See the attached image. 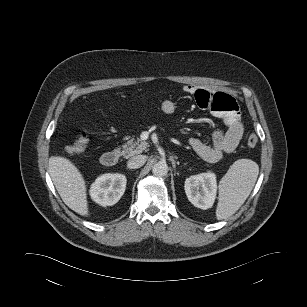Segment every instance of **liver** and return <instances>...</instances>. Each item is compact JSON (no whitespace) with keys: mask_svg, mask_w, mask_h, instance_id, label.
<instances>
[{"mask_svg":"<svg viewBox=\"0 0 307 307\" xmlns=\"http://www.w3.org/2000/svg\"><path fill=\"white\" fill-rule=\"evenodd\" d=\"M49 174L63 202L81 216H88L84 178L77 167L60 156L49 158Z\"/></svg>","mask_w":307,"mask_h":307,"instance_id":"obj_1","label":"liver"}]
</instances>
